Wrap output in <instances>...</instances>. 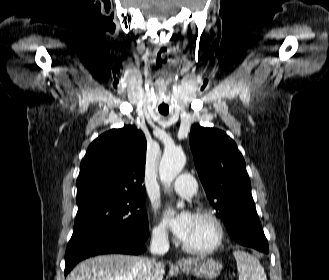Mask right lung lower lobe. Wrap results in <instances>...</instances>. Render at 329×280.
<instances>
[{
	"mask_svg": "<svg viewBox=\"0 0 329 280\" xmlns=\"http://www.w3.org/2000/svg\"><path fill=\"white\" fill-rule=\"evenodd\" d=\"M148 232L139 237H126L110 231H93L69 242L65 253V276L83 259L99 254L138 255L144 252Z\"/></svg>",
	"mask_w": 329,
	"mask_h": 280,
	"instance_id": "98d812e1",
	"label": "right lung lower lobe"
}]
</instances>
